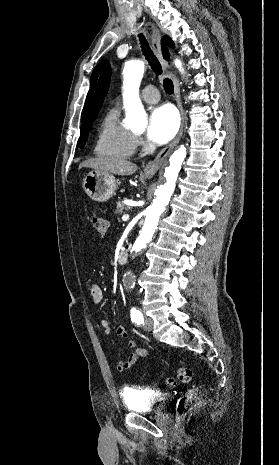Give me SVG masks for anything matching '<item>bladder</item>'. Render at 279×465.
I'll use <instances>...</instances> for the list:
<instances>
[{
  "label": "bladder",
  "instance_id": "bladder-1",
  "mask_svg": "<svg viewBox=\"0 0 279 465\" xmlns=\"http://www.w3.org/2000/svg\"><path fill=\"white\" fill-rule=\"evenodd\" d=\"M122 399L126 409L135 413H150L162 411L169 397L165 393L147 390L142 387H125Z\"/></svg>",
  "mask_w": 279,
  "mask_h": 465
}]
</instances>
